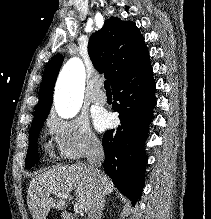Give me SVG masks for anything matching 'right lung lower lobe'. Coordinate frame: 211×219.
<instances>
[{"mask_svg":"<svg viewBox=\"0 0 211 219\" xmlns=\"http://www.w3.org/2000/svg\"><path fill=\"white\" fill-rule=\"evenodd\" d=\"M152 73L148 59L112 85L113 109L119 113L121 126L106 131L102 139L105 172L133 205L144 186L147 162L144 142L156 105Z\"/></svg>","mask_w":211,"mask_h":219,"instance_id":"right-lung-lower-lobe-1","label":"right lung lower lobe"}]
</instances>
